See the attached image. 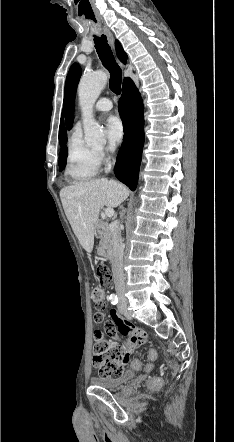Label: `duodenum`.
<instances>
[{"label": "duodenum", "instance_id": "410a0bca", "mask_svg": "<svg viewBox=\"0 0 234 442\" xmlns=\"http://www.w3.org/2000/svg\"><path fill=\"white\" fill-rule=\"evenodd\" d=\"M107 230H108L107 225L103 222H99L95 226L94 233L96 236L102 237L106 235ZM101 253L109 262L113 261V252L106 243L102 246Z\"/></svg>", "mask_w": 234, "mask_h": 442}]
</instances>
